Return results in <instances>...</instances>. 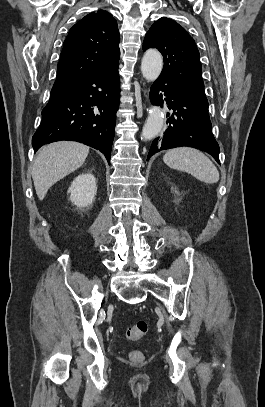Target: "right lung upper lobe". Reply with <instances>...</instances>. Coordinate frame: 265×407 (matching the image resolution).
I'll list each match as a JSON object with an SVG mask.
<instances>
[{"label":"right lung upper lobe","mask_w":265,"mask_h":407,"mask_svg":"<svg viewBox=\"0 0 265 407\" xmlns=\"http://www.w3.org/2000/svg\"><path fill=\"white\" fill-rule=\"evenodd\" d=\"M117 22L107 11L90 13L77 22L64 41L53 87L61 88L120 58Z\"/></svg>","instance_id":"cb5924a9"}]
</instances>
